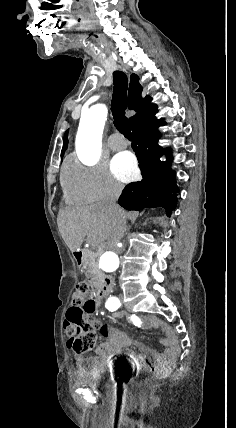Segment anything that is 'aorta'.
Segmentation results:
<instances>
[{
	"label": "aorta",
	"instance_id": "762f6f07",
	"mask_svg": "<svg viewBox=\"0 0 236 428\" xmlns=\"http://www.w3.org/2000/svg\"><path fill=\"white\" fill-rule=\"evenodd\" d=\"M107 112L105 105L96 104L81 115L76 136V149L80 159L87 164L97 162L101 155L102 134ZM119 263L117 253L107 251L101 256L99 266L105 272H114L119 267Z\"/></svg>",
	"mask_w": 236,
	"mask_h": 428
}]
</instances>
